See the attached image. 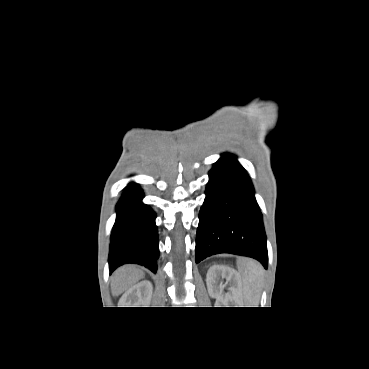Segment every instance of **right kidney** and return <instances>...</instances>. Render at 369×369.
I'll use <instances>...</instances> for the list:
<instances>
[{
    "mask_svg": "<svg viewBox=\"0 0 369 369\" xmlns=\"http://www.w3.org/2000/svg\"><path fill=\"white\" fill-rule=\"evenodd\" d=\"M152 292V283L148 280L141 281L126 291V305L130 307H148L151 301Z\"/></svg>",
    "mask_w": 369,
    "mask_h": 369,
    "instance_id": "ca27d5eb",
    "label": "right kidney"
}]
</instances>
